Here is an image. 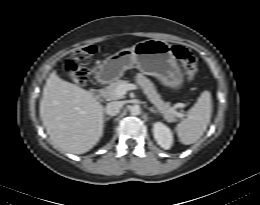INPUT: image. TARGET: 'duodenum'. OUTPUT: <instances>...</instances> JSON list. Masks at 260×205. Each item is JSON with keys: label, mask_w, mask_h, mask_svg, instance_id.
<instances>
[{"label": "duodenum", "mask_w": 260, "mask_h": 205, "mask_svg": "<svg viewBox=\"0 0 260 205\" xmlns=\"http://www.w3.org/2000/svg\"><path fill=\"white\" fill-rule=\"evenodd\" d=\"M91 95L94 99H100L101 98V95H102V90L101 89H96V90H93L91 92Z\"/></svg>", "instance_id": "obj_1"}]
</instances>
